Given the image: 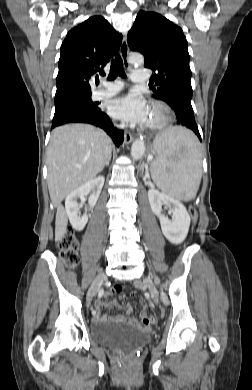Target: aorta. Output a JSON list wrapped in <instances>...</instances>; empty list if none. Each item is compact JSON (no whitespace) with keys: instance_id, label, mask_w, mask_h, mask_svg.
Returning a JSON list of instances; mask_svg holds the SVG:
<instances>
[{"instance_id":"aorta-1","label":"aorta","mask_w":252,"mask_h":390,"mask_svg":"<svg viewBox=\"0 0 252 390\" xmlns=\"http://www.w3.org/2000/svg\"><path fill=\"white\" fill-rule=\"evenodd\" d=\"M129 62L132 64L141 65L144 63V58L141 54L132 53L129 56ZM145 152V143L142 139H137L133 142L131 146V157L134 160L140 159Z\"/></svg>"}]
</instances>
